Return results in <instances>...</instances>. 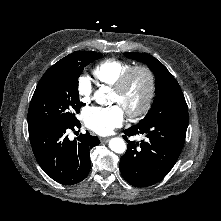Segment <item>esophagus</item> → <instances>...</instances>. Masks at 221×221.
I'll list each match as a JSON object with an SVG mask.
<instances>
[{"mask_svg": "<svg viewBox=\"0 0 221 221\" xmlns=\"http://www.w3.org/2000/svg\"><path fill=\"white\" fill-rule=\"evenodd\" d=\"M100 141L103 143H107L109 141V138H104V137H101L100 138Z\"/></svg>", "mask_w": 221, "mask_h": 221, "instance_id": "obj_1", "label": "esophagus"}]
</instances>
